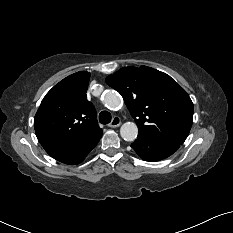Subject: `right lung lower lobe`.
Instances as JSON below:
<instances>
[{
    "label": "right lung lower lobe",
    "mask_w": 233,
    "mask_h": 233,
    "mask_svg": "<svg viewBox=\"0 0 233 233\" xmlns=\"http://www.w3.org/2000/svg\"><path fill=\"white\" fill-rule=\"evenodd\" d=\"M101 136L102 132L81 143H49L42 146L54 159L62 163L74 165L81 163L85 159L87 154L97 145Z\"/></svg>",
    "instance_id": "obj_1"
}]
</instances>
